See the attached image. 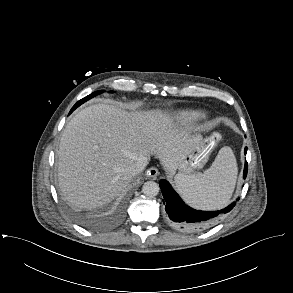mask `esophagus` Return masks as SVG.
I'll use <instances>...</instances> for the list:
<instances>
[{
    "instance_id": "34e87169",
    "label": "esophagus",
    "mask_w": 293,
    "mask_h": 293,
    "mask_svg": "<svg viewBox=\"0 0 293 293\" xmlns=\"http://www.w3.org/2000/svg\"><path fill=\"white\" fill-rule=\"evenodd\" d=\"M159 174V171L156 167H151L147 170L146 175L152 179H155Z\"/></svg>"
}]
</instances>
